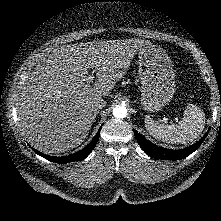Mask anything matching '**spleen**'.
Returning a JSON list of instances; mask_svg holds the SVG:
<instances>
[{"label": "spleen", "mask_w": 221, "mask_h": 221, "mask_svg": "<svg viewBox=\"0 0 221 221\" xmlns=\"http://www.w3.org/2000/svg\"><path fill=\"white\" fill-rule=\"evenodd\" d=\"M205 114L196 105L190 104L178 124H157L150 117L145 119L147 131L157 140L168 144L193 143L203 131Z\"/></svg>", "instance_id": "spleen-1"}]
</instances>
